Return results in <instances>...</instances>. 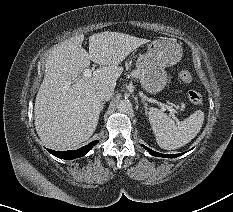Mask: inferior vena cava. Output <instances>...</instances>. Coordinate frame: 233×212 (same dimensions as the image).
<instances>
[{
    "mask_svg": "<svg viewBox=\"0 0 233 212\" xmlns=\"http://www.w3.org/2000/svg\"><path fill=\"white\" fill-rule=\"evenodd\" d=\"M114 94V89L107 86V85H102L98 90H97V95L100 100L102 101H108Z\"/></svg>",
    "mask_w": 233,
    "mask_h": 212,
    "instance_id": "inferior-vena-cava-1",
    "label": "inferior vena cava"
}]
</instances>
